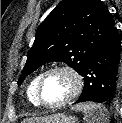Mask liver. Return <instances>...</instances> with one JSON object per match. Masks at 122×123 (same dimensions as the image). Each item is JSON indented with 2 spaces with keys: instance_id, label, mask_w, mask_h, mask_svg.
I'll list each match as a JSON object with an SVG mask.
<instances>
[{
  "instance_id": "obj_1",
  "label": "liver",
  "mask_w": 122,
  "mask_h": 123,
  "mask_svg": "<svg viewBox=\"0 0 122 123\" xmlns=\"http://www.w3.org/2000/svg\"><path fill=\"white\" fill-rule=\"evenodd\" d=\"M48 117H33V118H26L23 120L22 123H44Z\"/></svg>"
}]
</instances>
